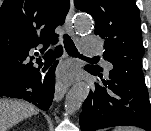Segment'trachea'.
<instances>
[{
    "instance_id": "3493384b",
    "label": "trachea",
    "mask_w": 151,
    "mask_h": 131,
    "mask_svg": "<svg viewBox=\"0 0 151 131\" xmlns=\"http://www.w3.org/2000/svg\"><path fill=\"white\" fill-rule=\"evenodd\" d=\"M64 47L70 56H80L73 40L67 34L64 35ZM43 58H44L45 62L54 61L55 54H54L53 50L47 51L46 54L43 56Z\"/></svg>"
}]
</instances>
